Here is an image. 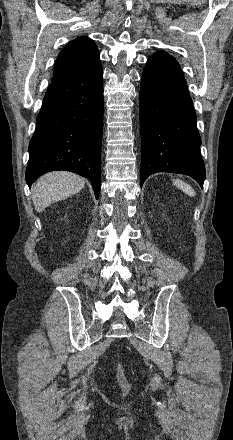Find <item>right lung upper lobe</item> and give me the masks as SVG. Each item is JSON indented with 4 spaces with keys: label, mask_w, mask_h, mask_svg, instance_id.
Listing matches in <instances>:
<instances>
[{
    "label": "right lung upper lobe",
    "mask_w": 233,
    "mask_h": 440,
    "mask_svg": "<svg viewBox=\"0 0 233 440\" xmlns=\"http://www.w3.org/2000/svg\"><path fill=\"white\" fill-rule=\"evenodd\" d=\"M99 53L93 40L79 37L67 44L59 53L52 83L74 79L97 69Z\"/></svg>",
    "instance_id": "cb5924a9"
}]
</instances>
